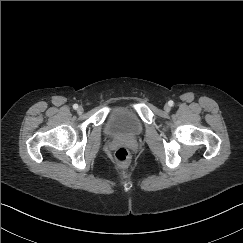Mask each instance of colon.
Returning a JSON list of instances; mask_svg holds the SVG:
<instances>
[{"label":"colon","mask_w":243,"mask_h":243,"mask_svg":"<svg viewBox=\"0 0 243 243\" xmlns=\"http://www.w3.org/2000/svg\"><path fill=\"white\" fill-rule=\"evenodd\" d=\"M114 161L119 168H127L131 163V156L125 147H119L114 154Z\"/></svg>","instance_id":"1"}]
</instances>
